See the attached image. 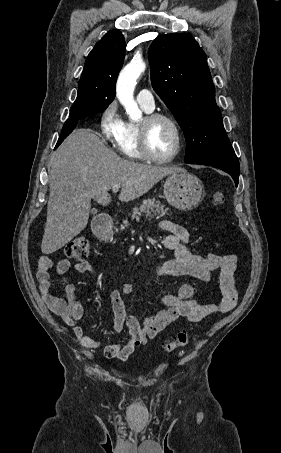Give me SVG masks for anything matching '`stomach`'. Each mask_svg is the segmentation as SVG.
<instances>
[{
    "mask_svg": "<svg viewBox=\"0 0 281 453\" xmlns=\"http://www.w3.org/2000/svg\"><path fill=\"white\" fill-rule=\"evenodd\" d=\"M164 194L169 204L175 208L191 210L203 200L205 190L198 176L184 170L169 174L164 182ZM110 235L111 233H107V237Z\"/></svg>",
    "mask_w": 281,
    "mask_h": 453,
    "instance_id": "1",
    "label": "stomach"
}]
</instances>
